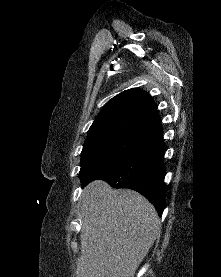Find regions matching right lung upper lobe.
I'll list each match as a JSON object with an SVG mask.
<instances>
[{
	"instance_id": "obj_1",
	"label": "right lung upper lobe",
	"mask_w": 221,
	"mask_h": 277,
	"mask_svg": "<svg viewBox=\"0 0 221 277\" xmlns=\"http://www.w3.org/2000/svg\"><path fill=\"white\" fill-rule=\"evenodd\" d=\"M152 98L143 90H126L108 101L90 129L105 125L140 124L142 118L155 111Z\"/></svg>"
}]
</instances>
